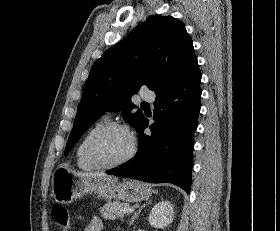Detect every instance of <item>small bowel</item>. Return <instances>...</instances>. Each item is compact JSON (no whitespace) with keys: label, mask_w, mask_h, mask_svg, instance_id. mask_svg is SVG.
Masks as SVG:
<instances>
[{"label":"small bowel","mask_w":280,"mask_h":231,"mask_svg":"<svg viewBox=\"0 0 280 231\" xmlns=\"http://www.w3.org/2000/svg\"><path fill=\"white\" fill-rule=\"evenodd\" d=\"M84 231H103V223L99 217H93Z\"/></svg>","instance_id":"small-bowel-1"}]
</instances>
